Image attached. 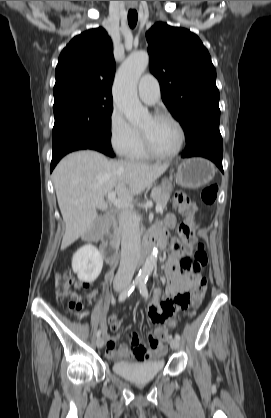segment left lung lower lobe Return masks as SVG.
I'll return each instance as SVG.
<instances>
[{"label":"left lung lower lobe","mask_w":271,"mask_h":418,"mask_svg":"<svg viewBox=\"0 0 271 418\" xmlns=\"http://www.w3.org/2000/svg\"><path fill=\"white\" fill-rule=\"evenodd\" d=\"M183 158L201 156L213 161L223 172V141L219 129L206 130L196 133L186 143L181 155Z\"/></svg>","instance_id":"1"}]
</instances>
